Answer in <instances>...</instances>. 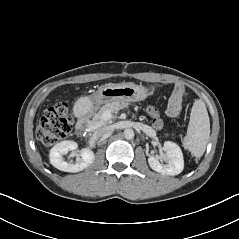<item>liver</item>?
<instances>
[{
	"mask_svg": "<svg viewBox=\"0 0 239 239\" xmlns=\"http://www.w3.org/2000/svg\"><path fill=\"white\" fill-rule=\"evenodd\" d=\"M97 108L98 106L93 103L91 96H81L73 105V114L75 117L81 118L93 114Z\"/></svg>",
	"mask_w": 239,
	"mask_h": 239,
	"instance_id": "6515ba94",
	"label": "liver"
}]
</instances>
